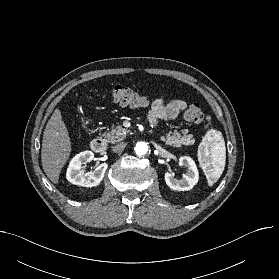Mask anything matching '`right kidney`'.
I'll return each instance as SVG.
<instances>
[{"instance_id": "obj_1", "label": "right kidney", "mask_w": 279, "mask_h": 279, "mask_svg": "<svg viewBox=\"0 0 279 279\" xmlns=\"http://www.w3.org/2000/svg\"><path fill=\"white\" fill-rule=\"evenodd\" d=\"M94 158L92 151H83L75 155L69 163L66 178L75 185L82 187H95L98 186L104 178V174L108 168L106 163H102L95 168L94 171L84 174L82 164L90 162Z\"/></svg>"}]
</instances>
